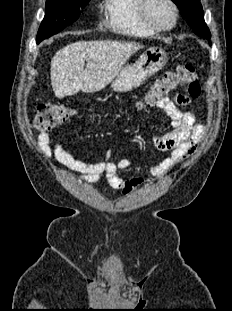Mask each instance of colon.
<instances>
[{
	"mask_svg": "<svg viewBox=\"0 0 232 311\" xmlns=\"http://www.w3.org/2000/svg\"><path fill=\"white\" fill-rule=\"evenodd\" d=\"M178 87H183L185 95L189 98H197L200 95V84L194 65L187 63L166 71L144 96L139 108L154 105ZM71 115L72 111L65 105L43 104L32 120V127L37 131H47L64 123Z\"/></svg>",
	"mask_w": 232,
	"mask_h": 311,
	"instance_id": "colon-1",
	"label": "colon"
}]
</instances>
